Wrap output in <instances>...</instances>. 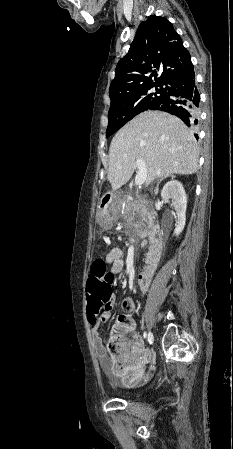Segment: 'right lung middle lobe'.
I'll use <instances>...</instances> for the list:
<instances>
[{"instance_id":"obj_1","label":"right lung middle lobe","mask_w":233,"mask_h":449,"mask_svg":"<svg viewBox=\"0 0 233 449\" xmlns=\"http://www.w3.org/2000/svg\"><path fill=\"white\" fill-rule=\"evenodd\" d=\"M163 85L164 83L148 85L112 98L106 137L112 135L139 113L157 108L167 93V88Z\"/></svg>"}]
</instances>
